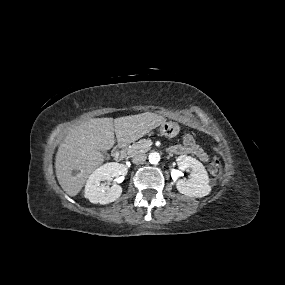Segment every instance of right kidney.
<instances>
[{
	"label": "right kidney",
	"instance_id": "right-kidney-1",
	"mask_svg": "<svg viewBox=\"0 0 285 285\" xmlns=\"http://www.w3.org/2000/svg\"><path fill=\"white\" fill-rule=\"evenodd\" d=\"M127 168L116 162L106 163L96 169L88 178L85 185L84 196L94 204H109L117 200L122 194L121 186L114 184L107 187L103 182L111 180L119 175H125Z\"/></svg>",
	"mask_w": 285,
	"mask_h": 285
}]
</instances>
